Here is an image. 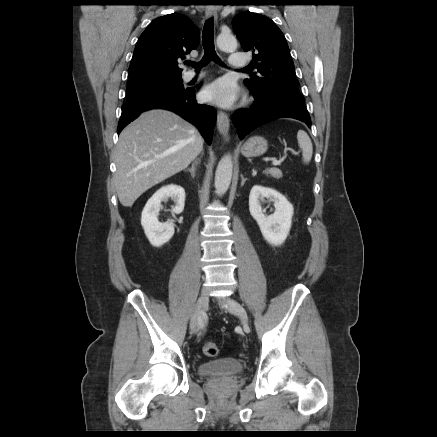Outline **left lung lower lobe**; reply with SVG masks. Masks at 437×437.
<instances>
[{"label": "left lung lower lobe", "mask_w": 437, "mask_h": 437, "mask_svg": "<svg viewBox=\"0 0 437 437\" xmlns=\"http://www.w3.org/2000/svg\"><path fill=\"white\" fill-rule=\"evenodd\" d=\"M282 117L300 120L311 128L310 115L303 103L284 99H255L251 108L236 111L232 118L242 139L255 128Z\"/></svg>", "instance_id": "obj_1"}]
</instances>
